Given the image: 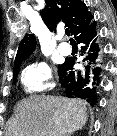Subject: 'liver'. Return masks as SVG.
Returning a JSON list of instances; mask_svg holds the SVG:
<instances>
[{"instance_id":"1","label":"liver","mask_w":117,"mask_h":136,"mask_svg":"<svg viewBox=\"0 0 117 136\" xmlns=\"http://www.w3.org/2000/svg\"><path fill=\"white\" fill-rule=\"evenodd\" d=\"M86 102L66 97L31 95L15 107L6 136H67L87 121Z\"/></svg>"}]
</instances>
